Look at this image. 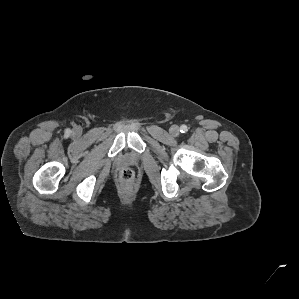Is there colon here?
Wrapping results in <instances>:
<instances>
[{
    "instance_id": "colon-1",
    "label": "colon",
    "mask_w": 299,
    "mask_h": 299,
    "mask_svg": "<svg viewBox=\"0 0 299 299\" xmlns=\"http://www.w3.org/2000/svg\"><path fill=\"white\" fill-rule=\"evenodd\" d=\"M120 181L122 184L129 186L134 181V173L131 169H123L119 175Z\"/></svg>"
}]
</instances>
